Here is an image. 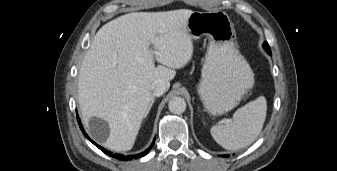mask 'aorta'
<instances>
[{
  "mask_svg": "<svg viewBox=\"0 0 337 171\" xmlns=\"http://www.w3.org/2000/svg\"><path fill=\"white\" fill-rule=\"evenodd\" d=\"M168 107L173 114H182L186 110V101L181 97H173L168 103Z\"/></svg>",
  "mask_w": 337,
  "mask_h": 171,
  "instance_id": "762f6f07",
  "label": "aorta"
}]
</instances>
